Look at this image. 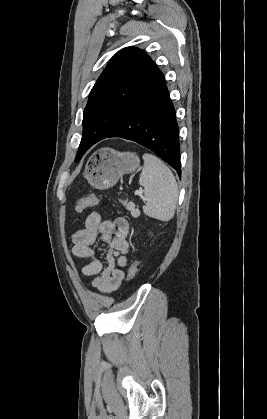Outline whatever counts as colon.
Returning a JSON list of instances; mask_svg holds the SVG:
<instances>
[{
    "instance_id": "5ec220e1",
    "label": "colon",
    "mask_w": 267,
    "mask_h": 419,
    "mask_svg": "<svg viewBox=\"0 0 267 419\" xmlns=\"http://www.w3.org/2000/svg\"><path fill=\"white\" fill-rule=\"evenodd\" d=\"M98 202H99V199L95 195H90V196L81 198L76 203L75 211L80 213L88 207L97 205ZM138 268H139V260H135L128 270V274H127L128 280H133L135 278L138 272Z\"/></svg>"
}]
</instances>
